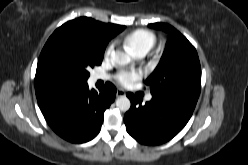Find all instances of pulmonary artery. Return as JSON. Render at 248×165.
Instances as JSON below:
<instances>
[{
    "label": "pulmonary artery",
    "mask_w": 248,
    "mask_h": 165,
    "mask_svg": "<svg viewBox=\"0 0 248 165\" xmlns=\"http://www.w3.org/2000/svg\"><path fill=\"white\" fill-rule=\"evenodd\" d=\"M145 54H146V53L142 52V53H139L138 56H139V57H143ZM94 79H95V80H97V79H107V76H105V75H103V74H96V75L94 76ZM151 99H152V96H151V95H148V96L146 97V100H147V101H150Z\"/></svg>",
    "instance_id": "e3ab8cb5"
}]
</instances>
